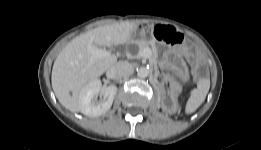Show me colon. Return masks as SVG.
Listing matches in <instances>:
<instances>
[{
    "instance_id": "obj_1",
    "label": "colon",
    "mask_w": 261,
    "mask_h": 150,
    "mask_svg": "<svg viewBox=\"0 0 261 150\" xmlns=\"http://www.w3.org/2000/svg\"><path fill=\"white\" fill-rule=\"evenodd\" d=\"M154 35L158 40L171 45H178L183 41V36L180 33L166 26H156Z\"/></svg>"
}]
</instances>
